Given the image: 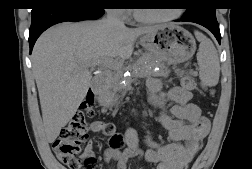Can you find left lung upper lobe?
Returning a JSON list of instances; mask_svg holds the SVG:
<instances>
[{
  "label": "left lung upper lobe",
  "mask_w": 252,
  "mask_h": 169,
  "mask_svg": "<svg viewBox=\"0 0 252 169\" xmlns=\"http://www.w3.org/2000/svg\"><path fill=\"white\" fill-rule=\"evenodd\" d=\"M192 5L187 8L183 18L216 17L214 0H191Z\"/></svg>",
  "instance_id": "obj_1"
}]
</instances>
